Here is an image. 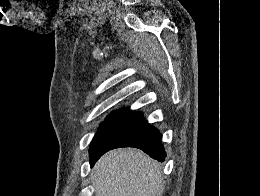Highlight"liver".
Here are the masks:
<instances>
[{
    "label": "liver",
    "mask_w": 260,
    "mask_h": 196,
    "mask_svg": "<svg viewBox=\"0 0 260 196\" xmlns=\"http://www.w3.org/2000/svg\"><path fill=\"white\" fill-rule=\"evenodd\" d=\"M161 170L141 150L120 148L101 156L91 174L96 196H162Z\"/></svg>",
    "instance_id": "liver-1"
}]
</instances>
